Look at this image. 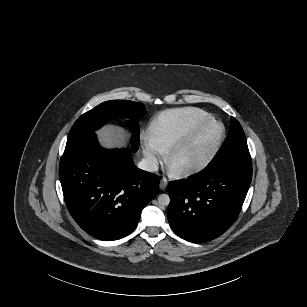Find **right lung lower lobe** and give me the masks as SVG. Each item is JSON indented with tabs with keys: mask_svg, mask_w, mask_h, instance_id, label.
<instances>
[{
	"mask_svg": "<svg viewBox=\"0 0 307 307\" xmlns=\"http://www.w3.org/2000/svg\"><path fill=\"white\" fill-rule=\"evenodd\" d=\"M59 177L71 216L106 241L131 233L159 188L156 174L138 169L127 150L101 148L95 132L66 144Z\"/></svg>",
	"mask_w": 307,
	"mask_h": 307,
	"instance_id": "98d812e1",
	"label": "right lung lower lobe"
}]
</instances>
